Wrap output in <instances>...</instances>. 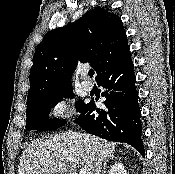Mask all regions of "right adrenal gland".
Returning a JSON list of instances; mask_svg holds the SVG:
<instances>
[{
  "mask_svg": "<svg viewBox=\"0 0 175 174\" xmlns=\"http://www.w3.org/2000/svg\"><path fill=\"white\" fill-rule=\"evenodd\" d=\"M113 159H117V157H115L114 155H112L111 157H109V158H107V159L105 160L102 174H105L107 163H108L110 160H113Z\"/></svg>",
  "mask_w": 175,
  "mask_h": 174,
  "instance_id": "2a0ac1e0",
  "label": "right adrenal gland"
}]
</instances>
